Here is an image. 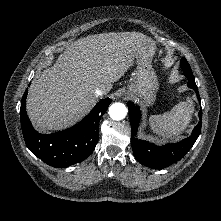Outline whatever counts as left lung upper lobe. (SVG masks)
<instances>
[{
    "label": "left lung upper lobe",
    "instance_id": "left-lung-upper-lobe-1",
    "mask_svg": "<svg viewBox=\"0 0 221 221\" xmlns=\"http://www.w3.org/2000/svg\"><path fill=\"white\" fill-rule=\"evenodd\" d=\"M181 68L184 70V71H191L190 69V66L187 62V60L185 58H182L181 59V64H180Z\"/></svg>",
    "mask_w": 221,
    "mask_h": 221
}]
</instances>
